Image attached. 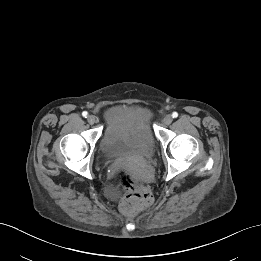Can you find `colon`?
I'll list each match as a JSON object with an SVG mask.
<instances>
[{"label":"colon","mask_w":261,"mask_h":261,"mask_svg":"<svg viewBox=\"0 0 261 261\" xmlns=\"http://www.w3.org/2000/svg\"><path fill=\"white\" fill-rule=\"evenodd\" d=\"M113 179L125 192L120 203V208L124 213H134L144 209L151 203L152 194L150 190L138 183L128 171L119 170Z\"/></svg>","instance_id":"obj_1"}]
</instances>
